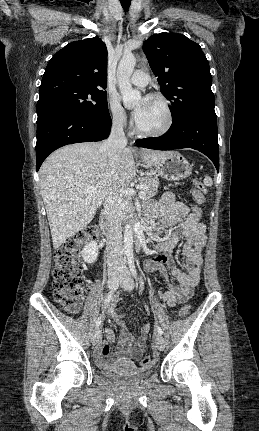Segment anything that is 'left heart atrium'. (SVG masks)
<instances>
[{"instance_id": "39dd6f15", "label": "left heart atrium", "mask_w": 259, "mask_h": 431, "mask_svg": "<svg viewBox=\"0 0 259 431\" xmlns=\"http://www.w3.org/2000/svg\"><path fill=\"white\" fill-rule=\"evenodd\" d=\"M146 105H147V99L145 98L141 100L140 104L135 108V110L133 111V116L135 120H137L142 115V113L146 108Z\"/></svg>"}]
</instances>
